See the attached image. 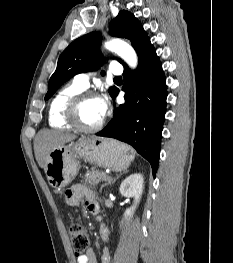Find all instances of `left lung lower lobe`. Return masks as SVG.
<instances>
[{
	"mask_svg": "<svg viewBox=\"0 0 233 263\" xmlns=\"http://www.w3.org/2000/svg\"><path fill=\"white\" fill-rule=\"evenodd\" d=\"M138 56L139 65L134 72L124 66L122 90L125 91V103L115 109L112 120L96 135L115 138L133 146L150 162L155 176L166 112V78L150 42ZM118 93L117 89L113 99Z\"/></svg>",
	"mask_w": 233,
	"mask_h": 263,
	"instance_id": "left-lung-lower-lobe-1",
	"label": "left lung lower lobe"
}]
</instances>
